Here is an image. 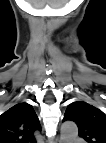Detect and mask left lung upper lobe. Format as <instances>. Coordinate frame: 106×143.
<instances>
[{
  "instance_id": "5c2ea615",
  "label": "left lung upper lobe",
  "mask_w": 106,
  "mask_h": 143,
  "mask_svg": "<svg viewBox=\"0 0 106 143\" xmlns=\"http://www.w3.org/2000/svg\"><path fill=\"white\" fill-rule=\"evenodd\" d=\"M77 124L78 134L88 143H106V114L82 101L68 105L63 121Z\"/></svg>"
}]
</instances>
